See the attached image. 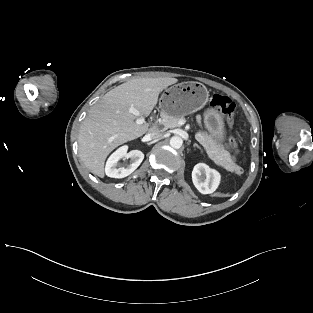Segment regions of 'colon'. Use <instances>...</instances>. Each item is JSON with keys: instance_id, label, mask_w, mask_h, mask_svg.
Here are the masks:
<instances>
[{"instance_id": "obj_1", "label": "colon", "mask_w": 313, "mask_h": 313, "mask_svg": "<svg viewBox=\"0 0 313 313\" xmlns=\"http://www.w3.org/2000/svg\"><path fill=\"white\" fill-rule=\"evenodd\" d=\"M211 106L218 109L225 117L226 124L228 128L231 130L234 124V115L236 110L235 102L221 94L213 95L211 99ZM227 146L233 154V158L237 159L239 154V149L235 138L232 135H229L227 138Z\"/></svg>"}]
</instances>
